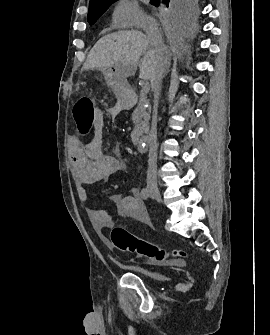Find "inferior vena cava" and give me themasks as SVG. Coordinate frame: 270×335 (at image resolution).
<instances>
[{
	"label": "inferior vena cava",
	"instance_id": "obj_1",
	"mask_svg": "<svg viewBox=\"0 0 270 335\" xmlns=\"http://www.w3.org/2000/svg\"><path fill=\"white\" fill-rule=\"evenodd\" d=\"M143 30L146 34L147 40H150L153 46H162V36L160 28L154 18H145L143 20ZM166 64L163 68L157 70L154 78L151 80V88L154 92V108H157L161 90V82L165 72ZM157 122L155 118L152 120L151 130L149 134V160L147 171L148 185H155L157 187Z\"/></svg>",
	"mask_w": 270,
	"mask_h": 335
}]
</instances>
